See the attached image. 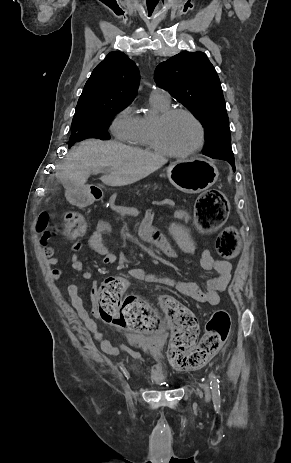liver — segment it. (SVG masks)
Wrapping results in <instances>:
<instances>
[{
    "instance_id": "6515ba94",
    "label": "liver",
    "mask_w": 291,
    "mask_h": 463,
    "mask_svg": "<svg viewBox=\"0 0 291 463\" xmlns=\"http://www.w3.org/2000/svg\"><path fill=\"white\" fill-rule=\"evenodd\" d=\"M166 163L167 159L156 153L116 141L89 139L67 154L56 177L63 184L83 187L91 174L108 168L109 174L100 180L108 186H125L147 177Z\"/></svg>"
}]
</instances>
